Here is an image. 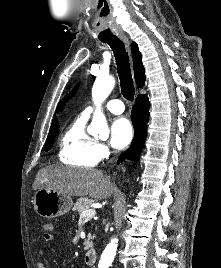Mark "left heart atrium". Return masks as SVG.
<instances>
[{"mask_svg": "<svg viewBox=\"0 0 221 268\" xmlns=\"http://www.w3.org/2000/svg\"><path fill=\"white\" fill-rule=\"evenodd\" d=\"M133 138L130 121L125 117L116 118L110 128V144L116 149L128 146Z\"/></svg>", "mask_w": 221, "mask_h": 268, "instance_id": "left-heart-atrium-1", "label": "left heart atrium"}]
</instances>
